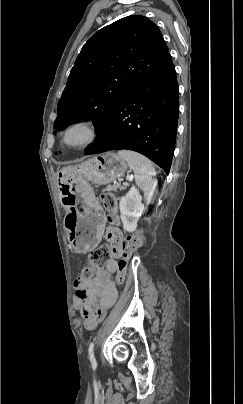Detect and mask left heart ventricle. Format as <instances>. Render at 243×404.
<instances>
[{
    "instance_id": "obj_1",
    "label": "left heart ventricle",
    "mask_w": 243,
    "mask_h": 404,
    "mask_svg": "<svg viewBox=\"0 0 243 404\" xmlns=\"http://www.w3.org/2000/svg\"><path fill=\"white\" fill-rule=\"evenodd\" d=\"M88 130L83 126L74 127L67 135L68 143L77 145L85 142L88 139Z\"/></svg>"
}]
</instances>
